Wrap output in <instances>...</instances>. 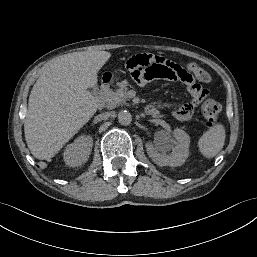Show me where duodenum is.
<instances>
[{"label":"duodenum","mask_w":257,"mask_h":257,"mask_svg":"<svg viewBox=\"0 0 257 257\" xmlns=\"http://www.w3.org/2000/svg\"><path fill=\"white\" fill-rule=\"evenodd\" d=\"M111 83H112V80H111L110 76L107 78H104V80L101 84L100 94H99L98 101H97L98 109L103 108V105L108 97L109 92H110ZM145 113L147 115L155 116V115H157L158 111H157L156 107H154L153 105H148L145 109Z\"/></svg>","instance_id":"410a0bca"}]
</instances>
